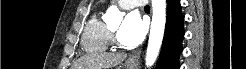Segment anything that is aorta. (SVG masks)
Masks as SVG:
<instances>
[{"mask_svg":"<svg viewBox=\"0 0 246 69\" xmlns=\"http://www.w3.org/2000/svg\"><path fill=\"white\" fill-rule=\"evenodd\" d=\"M152 22L146 52V66L152 67L155 63L163 41L166 24V0H152ZM122 13L116 6H110L104 16L106 23L121 21Z\"/></svg>","mask_w":246,"mask_h":69,"instance_id":"1","label":"aorta"}]
</instances>
